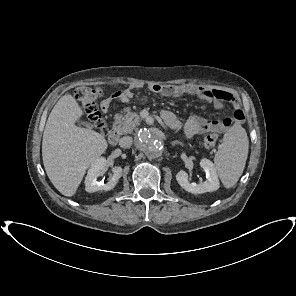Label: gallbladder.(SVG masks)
Masks as SVG:
<instances>
[{
	"label": "gallbladder",
	"instance_id": "1",
	"mask_svg": "<svg viewBox=\"0 0 296 296\" xmlns=\"http://www.w3.org/2000/svg\"><path fill=\"white\" fill-rule=\"evenodd\" d=\"M81 124L85 125L87 128H90L91 127V125L88 124V123H86V122H81Z\"/></svg>",
	"mask_w": 296,
	"mask_h": 296
}]
</instances>
